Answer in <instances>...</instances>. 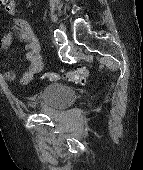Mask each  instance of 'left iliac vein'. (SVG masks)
<instances>
[{
  "instance_id": "1",
  "label": "left iliac vein",
  "mask_w": 143,
  "mask_h": 170,
  "mask_svg": "<svg viewBox=\"0 0 143 170\" xmlns=\"http://www.w3.org/2000/svg\"><path fill=\"white\" fill-rule=\"evenodd\" d=\"M60 29L62 32H66V27L64 24H60Z\"/></svg>"
}]
</instances>
